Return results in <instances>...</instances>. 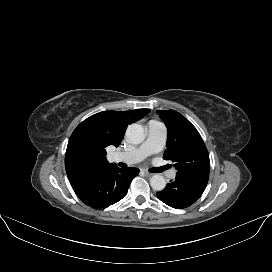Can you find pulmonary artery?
Masks as SVG:
<instances>
[{
    "label": "pulmonary artery",
    "instance_id": "e3ab8cb5",
    "mask_svg": "<svg viewBox=\"0 0 272 272\" xmlns=\"http://www.w3.org/2000/svg\"><path fill=\"white\" fill-rule=\"evenodd\" d=\"M167 132L164 125L158 121L152 120L147 124V138L139 147L125 152H115L113 158L118 162L134 164L142 161L147 156L160 152L166 142ZM176 171L171 169L167 176L173 179Z\"/></svg>",
    "mask_w": 272,
    "mask_h": 272
}]
</instances>
